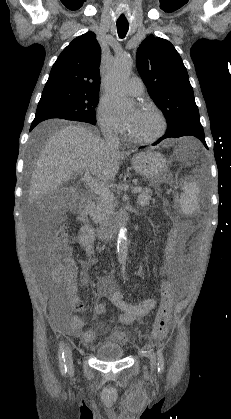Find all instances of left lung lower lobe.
Wrapping results in <instances>:
<instances>
[{
  "label": "left lung lower lobe",
  "instance_id": "0a47b994",
  "mask_svg": "<svg viewBox=\"0 0 231 419\" xmlns=\"http://www.w3.org/2000/svg\"><path fill=\"white\" fill-rule=\"evenodd\" d=\"M182 136H194L198 138L206 148H208L205 142L204 130L202 125H188L176 132L165 134L162 138L155 142L154 145L166 138H177Z\"/></svg>",
  "mask_w": 231,
  "mask_h": 419
}]
</instances>
